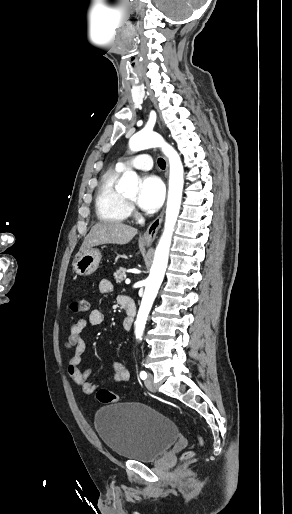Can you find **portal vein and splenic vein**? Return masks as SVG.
Here are the masks:
<instances>
[{
	"instance_id": "portal-vein-and-splenic-vein-1",
	"label": "portal vein and splenic vein",
	"mask_w": 292,
	"mask_h": 514,
	"mask_svg": "<svg viewBox=\"0 0 292 514\" xmlns=\"http://www.w3.org/2000/svg\"><path fill=\"white\" fill-rule=\"evenodd\" d=\"M131 280H125V284H130Z\"/></svg>"
}]
</instances>
